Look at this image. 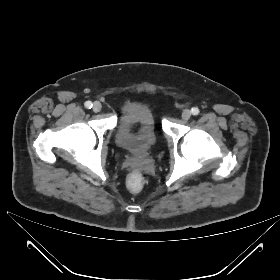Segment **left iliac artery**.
Returning <instances> with one entry per match:
<instances>
[{
  "label": "left iliac artery",
  "mask_w": 280,
  "mask_h": 280,
  "mask_svg": "<svg viewBox=\"0 0 280 280\" xmlns=\"http://www.w3.org/2000/svg\"><path fill=\"white\" fill-rule=\"evenodd\" d=\"M199 112H200L199 109L196 108V107H193V108L191 109V114H192V115H198Z\"/></svg>",
  "instance_id": "44dca946"
}]
</instances>
